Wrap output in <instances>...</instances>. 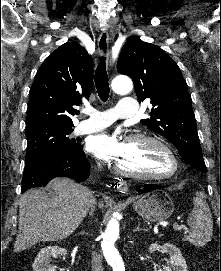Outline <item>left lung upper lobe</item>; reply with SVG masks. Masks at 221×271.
Wrapping results in <instances>:
<instances>
[{
	"label": "left lung upper lobe",
	"mask_w": 221,
	"mask_h": 271,
	"mask_svg": "<svg viewBox=\"0 0 221 271\" xmlns=\"http://www.w3.org/2000/svg\"><path fill=\"white\" fill-rule=\"evenodd\" d=\"M117 70L131 77L139 101L151 99L152 117L140 122L168 139L190 167L206 172L191 96L177 63L160 47L131 38Z\"/></svg>",
	"instance_id": "1"
}]
</instances>
